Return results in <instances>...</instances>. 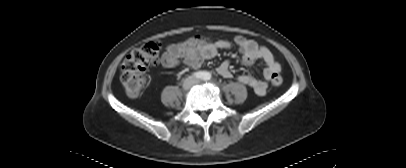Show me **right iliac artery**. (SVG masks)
<instances>
[{"label": "right iliac artery", "mask_w": 406, "mask_h": 168, "mask_svg": "<svg viewBox=\"0 0 406 168\" xmlns=\"http://www.w3.org/2000/svg\"><path fill=\"white\" fill-rule=\"evenodd\" d=\"M194 76H195L196 78L203 79L204 76H205V72H202V71L195 72V73H194Z\"/></svg>", "instance_id": "82829eb1"}]
</instances>
